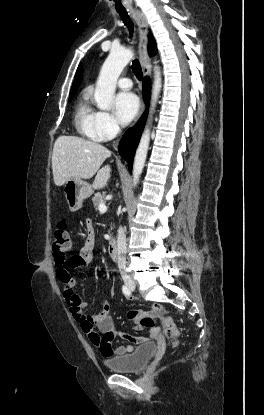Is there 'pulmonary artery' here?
Listing matches in <instances>:
<instances>
[{
  "mask_svg": "<svg viewBox=\"0 0 264 415\" xmlns=\"http://www.w3.org/2000/svg\"><path fill=\"white\" fill-rule=\"evenodd\" d=\"M117 86L123 90H129L132 87V81L129 78L123 77L117 81Z\"/></svg>",
  "mask_w": 264,
  "mask_h": 415,
  "instance_id": "e3ab8cb5",
  "label": "pulmonary artery"
}]
</instances>
